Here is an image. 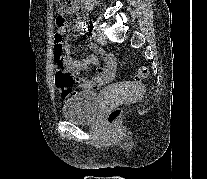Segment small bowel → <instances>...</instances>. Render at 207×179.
Segmentation results:
<instances>
[{
  "instance_id": "small-bowel-1",
  "label": "small bowel",
  "mask_w": 207,
  "mask_h": 179,
  "mask_svg": "<svg viewBox=\"0 0 207 179\" xmlns=\"http://www.w3.org/2000/svg\"><path fill=\"white\" fill-rule=\"evenodd\" d=\"M79 7V0H69L63 12L56 18V33L64 35L67 32L66 17L76 13ZM90 48L101 55L102 61L97 54H91L80 59L70 54V49L66 47L68 56L66 62L70 73L76 78L78 86L84 90H96L112 82L116 76V59L114 55L105 52L95 44H90ZM90 65L96 67L95 74L85 76L82 71Z\"/></svg>"
}]
</instances>
